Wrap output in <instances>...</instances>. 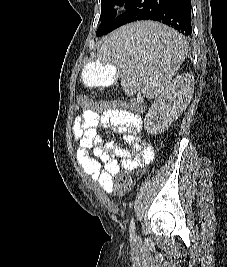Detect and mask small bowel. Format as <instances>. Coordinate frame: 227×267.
<instances>
[{
  "mask_svg": "<svg viewBox=\"0 0 227 267\" xmlns=\"http://www.w3.org/2000/svg\"><path fill=\"white\" fill-rule=\"evenodd\" d=\"M109 128L125 133L123 145L104 142L99 131ZM72 129L77 143L78 163L105 192L110 193L114 189L112 173H118L119 169L134 171L154 159L153 146L138 135L142 131L141 116H134L133 112L107 109L99 114L86 110L75 118Z\"/></svg>",
  "mask_w": 227,
  "mask_h": 267,
  "instance_id": "small-bowel-1",
  "label": "small bowel"
}]
</instances>
